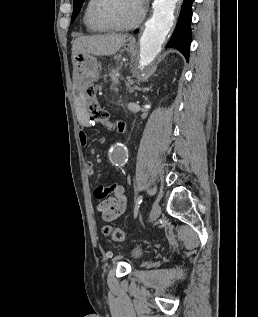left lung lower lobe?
Returning a JSON list of instances; mask_svg holds the SVG:
<instances>
[{
  "label": "left lung lower lobe",
  "instance_id": "1",
  "mask_svg": "<svg viewBox=\"0 0 258 317\" xmlns=\"http://www.w3.org/2000/svg\"><path fill=\"white\" fill-rule=\"evenodd\" d=\"M194 0H184L178 22L174 33L172 34L166 47L178 49L189 60V47L191 43V28L190 23L192 20V4Z\"/></svg>",
  "mask_w": 258,
  "mask_h": 317
}]
</instances>
